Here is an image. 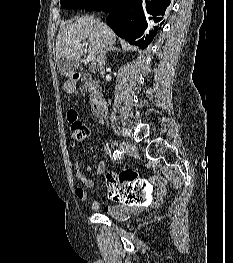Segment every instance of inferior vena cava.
Segmentation results:
<instances>
[{
	"label": "inferior vena cava",
	"mask_w": 233,
	"mask_h": 263,
	"mask_svg": "<svg viewBox=\"0 0 233 263\" xmlns=\"http://www.w3.org/2000/svg\"><path fill=\"white\" fill-rule=\"evenodd\" d=\"M107 42L103 41L101 44V49L97 56V62L100 69L101 74H103L104 65H105V51H106Z\"/></svg>",
	"instance_id": "inferior-vena-cava-1"
}]
</instances>
